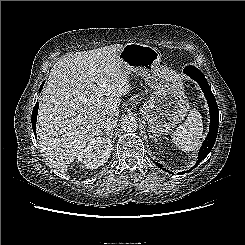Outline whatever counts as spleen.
Wrapping results in <instances>:
<instances>
[{
  "label": "spleen",
  "instance_id": "obj_1",
  "mask_svg": "<svg viewBox=\"0 0 245 245\" xmlns=\"http://www.w3.org/2000/svg\"><path fill=\"white\" fill-rule=\"evenodd\" d=\"M203 134L202 116L193 109L189 112L188 117L172 133V142L182 151H195L201 144Z\"/></svg>",
  "mask_w": 245,
  "mask_h": 245
}]
</instances>
